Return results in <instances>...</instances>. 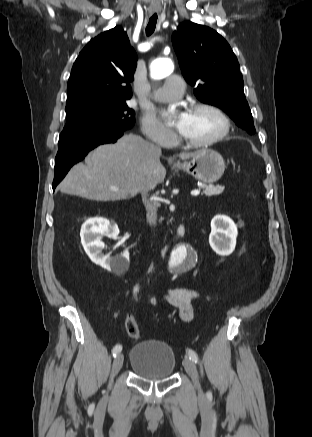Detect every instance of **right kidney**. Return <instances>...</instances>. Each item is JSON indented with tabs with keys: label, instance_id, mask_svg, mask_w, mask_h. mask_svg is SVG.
<instances>
[{
	"label": "right kidney",
	"instance_id": "obj_1",
	"mask_svg": "<svg viewBox=\"0 0 312 437\" xmlns=\"http://www.w3.org/2000/svg\"><path fill=\"white\" fill-rule=\"evenodd\" d=\"M118 234V226L111 224L109 220L105 218L89 219L81 227V243L86 254L93 263L108 271L118 272L129 268L128 250L116 257H110L102 253L104 243L101 241V237L103 235L116 237Z\"/></svg>",
	"mask_w": 312,
	"mask_h": 437
}]
</instances>
